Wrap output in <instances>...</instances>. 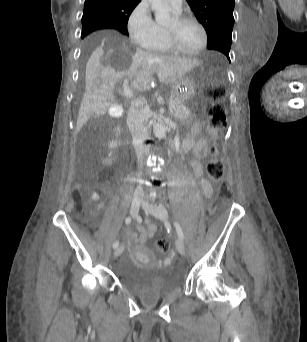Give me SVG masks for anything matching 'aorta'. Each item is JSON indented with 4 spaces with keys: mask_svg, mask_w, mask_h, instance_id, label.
<instances>
[{
    "mask_svg": "<svg viewBox=\"0 0 307 342\" xmlns=\"http://www.w3.org/2000/svg\"><path fill=\"white\" fill-rule=\"evenodd\" d=\"M151 10L154 12L156 22L159 24H169L173 18L171 16L172 8H170L166 0H148ZM167 126L163 122H154L153 132L156 138H166Z\"/></svg>",
    "mask_w": 307,
    "mask_h": 342,
    "instance_id": "762f6f07",
    "label": "aorta"
}]
</instances>
